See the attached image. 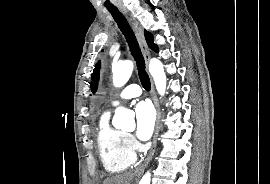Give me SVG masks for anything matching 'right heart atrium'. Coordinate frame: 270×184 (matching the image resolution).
<instances>
[{"label":"right heart atrium","instance_id":"d8ad5b80","mask_svg":"<svg viewBox=\"0 0 270 184\" xmlns=\"http://www.w3.org/2000/svg\"><path fill=\"white\" fill-rule=\"evenodd\" d=\"M128 141H129L130 145L132 146V148L137 147V143L132 137L128 136Z\"/></svg>","mask_w":270,"mask_h":184}]
</instances>
